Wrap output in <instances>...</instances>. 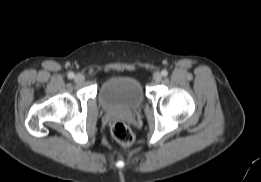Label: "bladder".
Here are the masks:
<instances>
[{
	"label": "bladder",
	"mask_w": 261,
	"mask_h": 182,
	"mask_svg": "<svg viewBox=\"0 0 261 182\" xmlns=\"http://www.w3.org/2000/svg\"><path fill=\"white\" fill-rule=\"evenodd\" d=\"M100 105L108 112H132L141 107L144 95L139 82L128 76L106 79L98 90Z\"/></svg>",
	"instance_id": "31cf9c89"
}]
</instances>
